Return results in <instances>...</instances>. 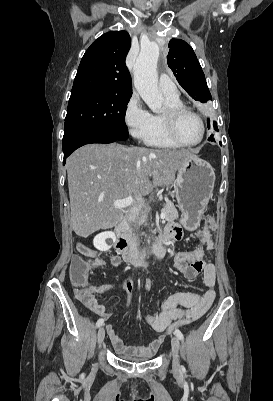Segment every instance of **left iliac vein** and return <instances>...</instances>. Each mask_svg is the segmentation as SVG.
Instances as JSON below:
<instances>
[{
  "label": "left iliac vein",
  "instance_id": "left-iliac-vein-1",
  "mask_svg": "<svg viewBox=\"0 0 273 401\" xmlns=\"http://www.w3.org/2000/svg\"><path fill=\"white\" fill-rule=\"evenodd\" d=\"M172 353H173V372L178 374L181 371V366L179 363V348H180V342L178 337L173 336L172 337Z\"/></svg>",
  "mask_w": 273,
  "mask_h": 401
}]
</instances>
